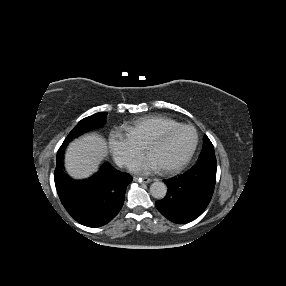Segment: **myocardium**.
I'll list each match as a JSON object with an SVG mask.
<instances>
[{
  "label": "myocardium",
  "instance_id": "1",
  "mask_svg": "<svg viewBox=\"0 0 286 286\" xmlns=\"http://www.w3.org/2000/svg\"><path fill=\"white\" fill-rule=\"evenodd\" d=\"M183 129H191L194 131V133L196 135L195 144H194L193 148L191 149V151L189 152V154L183 160H181L180 162L173 164V165L161 167L162 171H164V172H176L178 170H181L191 161V159L195 155V152H196L198 144H199V134H198L197 129L192 125H180V126H177L175 128L165 130V131L149 138L144 145L145 149L147 151H149L152 146L159 144V143H162L163 141L167 140L172 135L176 134L177 132H179Z\"/></svg>",
  "mask_w": 286,
  "mask_h": 286
}]
</instances>
